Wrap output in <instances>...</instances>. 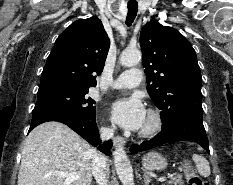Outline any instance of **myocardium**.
I'll use <instances>...</instances> for the list:
<instances>
[{
  "label": "myocardium",
  "mask_w": 233,
  "mask_h": 185,
  "mask_svg": "<svg viewBox=\"0 0 233 185\" xmlns=\"http://www.w3.org/2000/svg\"><path fill=\"white\" fill-rule=\"evenodd\" d=\"M147 114L151 120L150 125L139 131L141 137H153L157 135L163 127V117L160 111L156 109H148Z\"/></svg>",
  "instance_id": "1"
}]
</instances>
